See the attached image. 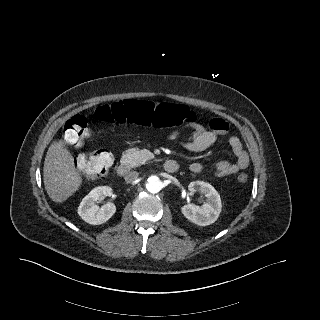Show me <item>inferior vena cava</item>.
Here are the masks:
<instances>
[{
  "label": "inferior vena cava",
  "mask_w": 320,
  "mask_h": 320,
  "mask_svg": "<svg viewBox=\"0 0 320 320\" xmlns=\"http://www.w3.org/2000/svg\"><path fill=\"white\" fill-rule=\"evenodd\" d=\"M138 177V172L137 171H130L127 173L125 176V182L126 183H131Z\"/></svg>",
  "instance_id": "obj_1"
}]
</instances>
